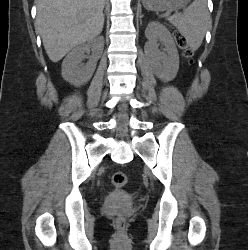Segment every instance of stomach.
<instances>
[{"label": "stomach", "instance_id": "1", "mask_svg": "<svg viewBox=\"0 0 248 250\" xmlns=\"http://www.w3.org/2000/svg\"><path fill=\"white\" fill-rule=\"evenodd\" d=\"M190 0H142L144 7L152 11H172L185 7Z\"/></svg>", "mask_w": 248, "mask_h": 250}]
</instances>
